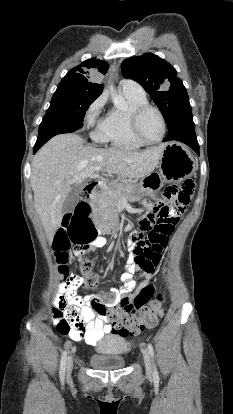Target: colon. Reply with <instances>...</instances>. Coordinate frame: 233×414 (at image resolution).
<instances>
[{
    "mask_svg": "<svg viewBox=\"0 0 233 414\" xmlns=\"http://www.w3.org/2000/svg\"><path fill=\"white\" fill-rule=\"evenodd\" d=\"M194 183L191 179L186 180L181 190L170 185L165 189V195L172 203L171 206H161L148 214L140 223V230L130 236V242L134 245L132 256L136 265L144 270L153 272L159 264L161 251L167 244L168 236L174 228L175 217L172 211L174 206H186L193 193ZM85 193H83L84 197ZM96 238L95 229L90 218L88 205L79 204L74 213L66 216L63 228L55 235L53 247L59 272L63 279L68 277V254L71 244L89 253L91 243ZM93 262L85 257L79 262V270L85 277L87 289L98 288V276L93 272ZM155 289L148 285L143 288L134 298L116 299L113 292H102L96 298L107 306L108 315L106 322L111 331L127 336L136 334L144 328L154 327L163 315V297L158 295L153 299Z\"/></svg>",
    "mask_w": 233,
    "mask_h": 414,
    "instance_id": "5ec220e1",
    "label": "colon"
}]
</instances>
